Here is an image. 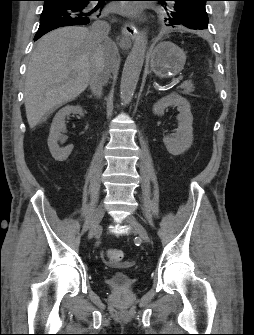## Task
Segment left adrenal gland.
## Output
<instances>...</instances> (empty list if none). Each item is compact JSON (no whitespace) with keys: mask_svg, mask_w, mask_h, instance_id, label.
<instances>
[{"mask_svg":"<svg viewBox=\"0 0 254 335\" xmlns=\"http://www.w3.org/2000/svg\"><path fill=\"white\" fill-rule=\"evenodd\" d=\"M150 93V86H148L147 92H146V96Z\"/></svg>","mask_w":254,"mask_h":335,"instance_id":"a2214340","label":"left adrenal gland"}]
</instances>
